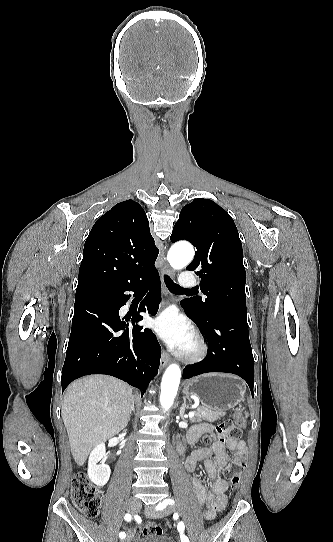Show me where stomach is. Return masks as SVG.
Here are the masks:
<instances>
[{
  "instance_id": "stomach-1",
  "label": "stomach",
  "mask_w": 333,
  "mask_h": 542,
  "mask_svg": "<svg viewBox=\"0 0 333 542\" xmlns=\"http://www.w3.org/2000/svg\"><path fill=\"white\" fill-rule=\"evenodd\" d=\"M183 394L196 396L203 408L227 412L244 400L245 388L232 374H202L185 382Z\"/></svg>"
}]
</instances>
